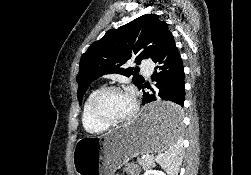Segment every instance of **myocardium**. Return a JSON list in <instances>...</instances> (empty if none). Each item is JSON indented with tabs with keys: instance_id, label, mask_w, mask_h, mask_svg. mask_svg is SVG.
<instances>
[{
	"instance_id": "myocardium-1",
	"label": "myocardium",
	"mask_w": 251,
	"mask_h": 175,
	"mask_svg": "<svg viewBox=\"0 0 251 175\" xmlns=\"http://www.w3.org/2000/svg\"><path fill=\"white\" fill-rule=\"evenodd\" d=\"M111 91L125 92V90L122 87L117 86V85L106 86L98 91V93L95 95V97L91 103L92 117L96 121L105 125L108 128L109 127H116L118 125L129 122L130 120H132L136 116V114L138 112V105L136 104V102L132 101V103H133L132 110L126 116H124L118 120H111V119L107 118L106 116H104L100 110V102H101L102 98Z\"/></svg>"
}]
</instances>
